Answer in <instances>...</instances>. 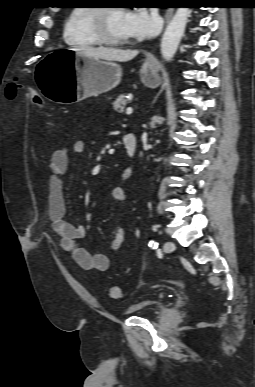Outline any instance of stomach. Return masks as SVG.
I'll return each mask as SVG.
<instances>
[{
	"mask_svg": "<svg viewBox=\"0 0 255 387\" xmlns=\"http://www.w3.org/2000/svg\"><path fill=\"white\" fill-rule=\"evenodd\" d=\"M44 59H34L32 81L42 87L45 99L54 104H73L92 95L114 88L122 77L120 65L87 57L74 51L73 46H50ZM141 80L147 87L160 84L157 67L146 61L140 69Z\"/></svg>",
	"mask_w": 255,
	"mask_h": 387,
	"instance_id": "1",
	"label": "stomach"
}]
</instances>
